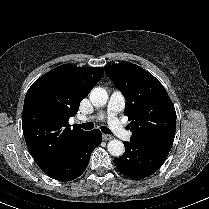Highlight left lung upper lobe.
Here are the masks:
<instances>
[{
	"mask_svg": "<svg viewBox=\"0 0 209 209\" xmlns=\"http://www.w3.org/2000/svg\"><path fill=\"white\" fill-rule=\"evenodd\" d=\"M104 69L126 98L124 115L131 121V140L170 150L175 137L176 112L162 84L132 63Z\"/></svg>",
	"mask_w": 209,
	"mask_h": 209,
	"instance_id": "1",
	"label": "left lung upper lobe"
}]
</instances>
